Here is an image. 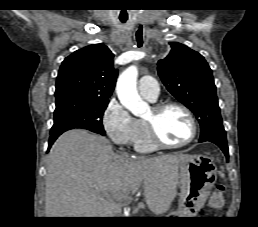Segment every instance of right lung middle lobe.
<instances>
[{
  "label": "right lung middle lobe",
  "mask_w": 258,
  "mask_h": 227,
  "mask_svg": "<svg viewBox=\"0 0 258 227\" xmlns=\"http://www.w3.org/2000/svg\"><path fill=\"white\" fill-rule=\"evenodd\" d=\"M109 100H97L78 95L56 97L54 125L87 129L105 135L102 117Z\"/></svg>",
  "instance_id": "obj_1"
}]
</instances>
